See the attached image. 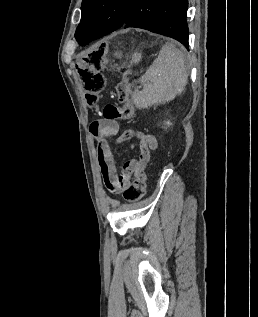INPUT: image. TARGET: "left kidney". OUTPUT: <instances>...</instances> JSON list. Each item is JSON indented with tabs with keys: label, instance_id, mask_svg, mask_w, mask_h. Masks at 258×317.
<instances>
[{
	"label": "left kidney",
	"instance_id": "5707ae66",
	"mask_svg": "<svg viewBox=\"0 0 258 317\" xmlns=\"http://www.w3.org/2000/svg\"><path fill=\"white\" fill-rule=\"evenodd\" d=\"M166 124H172V122H169V120H167Z\"/></svg>",
	"mask_w": 258,
	"mask_h": 317
}]
</instances>
